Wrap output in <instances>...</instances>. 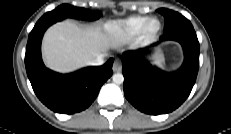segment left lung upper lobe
<instances>
[{"label": "left lung upper lobe", "mask_w": 231, "mask_h": 134, "mask_svg": "<svg viewBox=\"0 0 231 134\" xmlns=\"http://www.w3.org/2000/svg\"><path fill=\"white\" fill-rule=\"evenodd\" d=\"M160 14H162L165 18V26L164 32L168 33L175 29L191 27L192 24L188 19H186L183 15L178 12L169 10V9H158Z\"/></svg>", "instance_id": "left-lung-upper-lobe-1"}]
</instances>
